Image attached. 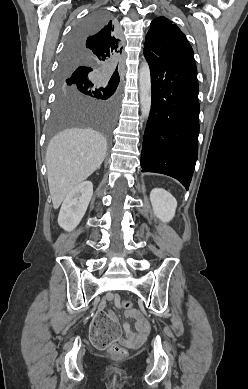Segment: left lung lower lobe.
Returning <instances> with one entry per match:
<instances>
[{
	"mask_svg": "<svg viewBox=\"0 0 248 389\" xmlns=\"http://www.w3.org/2000/svg\"><path fill=\"white\" fill-rule=\"evenodd\" d=\"M152 104L144 133L143 172L171 176L188 189L198 156L199 100L193 55L160 57L144 50Z\"/></svg>",
	"mask_w": 248,
	"mask_h": 389,
	"instance_id": "0a47b994",
	"label": "left lung lower lobe"
}]
</instances>
